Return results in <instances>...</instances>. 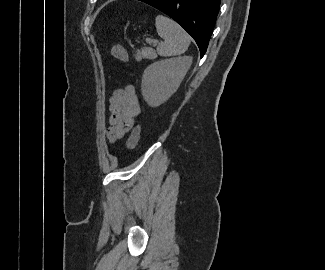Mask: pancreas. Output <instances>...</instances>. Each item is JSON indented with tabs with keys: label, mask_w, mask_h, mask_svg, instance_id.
<instances>
[{
	"label": "pancreas",
	"mask_w": 325,
	"mask_h": 270,
	"mask_svg": "<svg viewBox=\"0 0 325 270\" xmlns=\"http://www.w3.org/2000/svg\"><path fill=\"white\" fill-rule=\"evenodd\" d=\"M157 57L156 52L152 48L143 47L135 54V59L141 61L142 59L153 60Z\"/></svg>",
	"instance_id": "cf45deb5"
}]
</instances>
